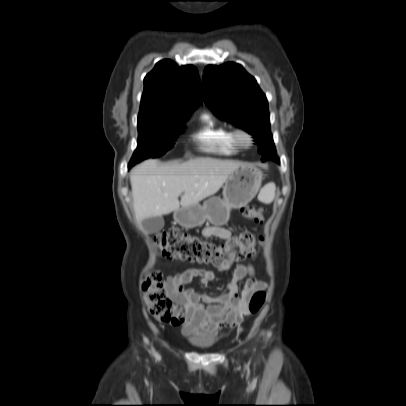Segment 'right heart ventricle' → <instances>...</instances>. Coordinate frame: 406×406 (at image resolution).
<instances>
[{
    "label": "right heart ventricle",
    "instance_id": "e07e8e85",
    "mask_svg": "<svg viewBox=\"0 0 406 406\" xmlns=\"http://www.w3.org/2000/svg\"><path fill=\"white\" fill-rule=\"evenodd\" d=\"M200 121L201 125L193 134V138L201 149L224 155H232L239 151L231 128L218 123L207 113L201 115Z\"/></svg>",
    "mask_w": 406,
    "mask_h": 406
}]
</instances>
